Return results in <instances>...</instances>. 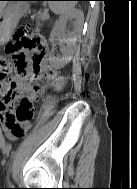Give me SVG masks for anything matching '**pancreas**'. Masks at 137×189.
Instances as JSON below:
<instances>
[{
    "label": "pancreas",
    "mask_w": 137,
    "mask_h": 189,
    "mask_svg": "<svg viewBox=\"0 0 137 189\" xmlns=\"http://www.w3.org/2000/svg\"><path fill=\"white\" fill-rule=\"evenodd\" d=\"M47 17H48V14H47V13H43V14L40 16V18H41L42 20L47 19Z\"/></svg>",
    "instance_id": "1"
}]
</instances>
